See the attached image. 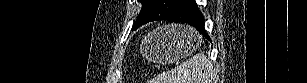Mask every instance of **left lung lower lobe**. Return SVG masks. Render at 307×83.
Returning <instances> with one entry per match:
<instances>
[{
  "label": "left lung lower lobe",
  "mask_w": 307,
  "mask_h": 83,
  "mask_svg": "<svg viewBox=\"0 0 307 83\" xmlns=\"http://www.w3.org/2000/svg\"><path fill=\"white\" fill-rule=\"evenodd\" d=\"M162 20L190 24L210 40L204 29L205 20L194 0H176L168 14ZM133 29H137V27Z\"/></svg>",
  "instance_id": "obj_1"
}]
</instances>
